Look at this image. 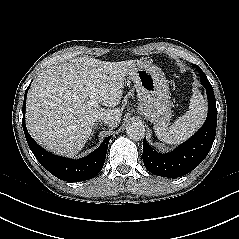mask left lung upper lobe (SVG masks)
<instances>
[{"label":"left lung upper lobe","mask_w":239,"mask_h":239,"mask_svg":"<svg viewBox=\"0 0 239 239\" xmlns=\"http://www.w3.org/2000/svg\"><path fill=\"white\" fill-rule=\"evenodd\" d=\"M193 66L199 71L201 80H208L205 73L201 70L198 65L193 64Z\"/></svg>","instance_id":"1"}]
</instances>
